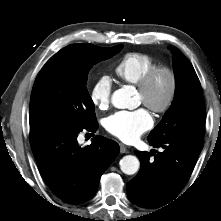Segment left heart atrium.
<instances>
[{"label": "left heart atrium", "mask_w": 221, "mask_h": 221, "mask_svg": "<svg viewBox=\"0 0 221 221\" xmlns=\"http://www.w3.org/2000/svg\"><path fill=\"white\" fill-rule=\"evenodd\" d=\"M152 125V116L144 108L133 111H118L105 120L107 131L125 142L137 140Z\"/></svg>", "instance_id": "left-heart-atrium-1"}]
</instances>
